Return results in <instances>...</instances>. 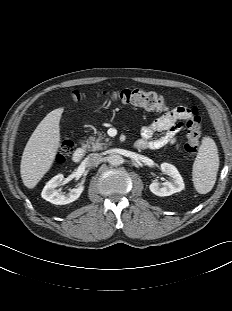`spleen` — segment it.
<instances>
[{"label": "spleen", "instance_id": "obj_1", "mask_svg": "<svg viewBox=\"0 0 232 311\" xmlns=\"http://www.w3.org/2000/svg\"><path fill=\"white\" fill-rule=\"evenodd\" d=\"M219 169L218 149L210 137L202 139L192 170V178L196 191L206 194L214 187Z\"/></svg>", "mask_w": 232, "mask_h": 311}]
</instances>
